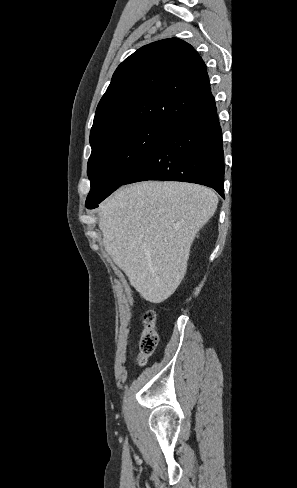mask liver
Here are the masks:
<instances>
[{
  "label": "liver",
  "instance_id": "6515ba94",
  "mask_svg": "<svg viewBox=\"0 0 297 488\" xmlns=\"http://www.w3.org/2000/svg\"><path fill=\"white\" fill-rule=\"evenodd\" d=\"M217 204L212 189L191 183L120 188L99 213L105 250L146 301L161 303L184 278L195 236Z\"/></svg>",
  "mask_w": 297,
  "mask_h": 488
}]
</instances>
